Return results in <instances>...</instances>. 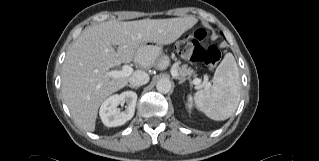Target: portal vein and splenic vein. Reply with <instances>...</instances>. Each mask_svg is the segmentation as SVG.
<instances>
[{"mask_svg":"<svg viewBox=\"0 0 319 161\" xmlns=\"http://www.w3.org/2000/svg\"><path fill=\"white\" fill-rule=\"evenodd\" d=\"M133 72V69L129 65H124L122 70H112L108 71L106 73V76L111 77V78H121V77H129ZM171 74L173 77H176L178 75V72L176 69L172 68L171 69ZM193 83L198 85L200 83V79L195 78L193 80Z\"/></svg>","mask_w":319,"mask_h":161,"instance_id":"18ae733b","label":"portal vein and splenic vein"}]
</instances>
